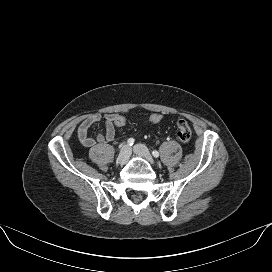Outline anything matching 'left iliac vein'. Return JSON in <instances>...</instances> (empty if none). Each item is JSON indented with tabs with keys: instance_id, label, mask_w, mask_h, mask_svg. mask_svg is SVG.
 Here are the masks:
<instances>
[{
	"instance_id": "left-iliac-vein-1",
	"label": "left iliac vein",
	"mask_w": 272,
	"mask_h": 272,
	"mask_svg": "<svg viewBox=\"0 0 272 272\" xmlns=\"http://www.w3.org/2000/svg\"><path fill=\"white\" fill-rule=\"evenodd\" d=\"M133 151L135 154L141 156L142 158H144L145 160H147L151 165L154 164V159L151 156L149 150L147 149V147L143 144H136L133 147Z\"/></svg>"
}]
</instances>
